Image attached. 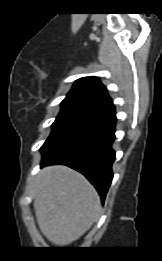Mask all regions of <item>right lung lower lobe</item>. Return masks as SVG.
Wrapping results in <instances>:
<instances>
[{"instance_id": "obj_1", "label": "right lung lower lobe", "mask_w": 162, "mask_h": 261, "mask_svg": "<svg viewBox=\"0 0 162 261\" xmlns=\"http://www.w3.org/2000/svg\"><path fill=\"white\" fill-rule=\"evenodd\" d=\"M115 107L110 104L65 126L41 148L42 166L62 164L82 173L104 202L112 182Z\"/></svg>"}]
</instances>
